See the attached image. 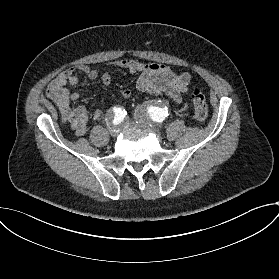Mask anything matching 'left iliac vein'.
I'll return each instance as SVG.
<instances>
[{"label": "left iliac vein", "instance_id": "1", "mask_svg": "<svg viewBox=\"0 0 279 279\" xmlns=\"http://www.w3.org/2000/svg\"><path fill=\"white\" fill-rule=\"evenodd\" d=\"M143 130L145 131H149L150 133L154 134V135H160V130L158 128H156L155 126H151V125H143Z\"/></svg>", "mask_w": 279, "mask_h": 279}]
</instances>
